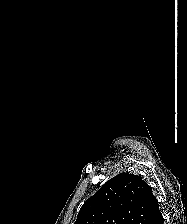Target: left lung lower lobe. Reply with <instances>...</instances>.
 <instances>
[{"mask_svg": "<svg viewBox=\"0 0 187 224\" xmlns=\"http://www.w3.org/2000/svg\"><path fill=\"white\" fill-rule=\"evenodd\" d=\"M163 216L161 214V212L159 213V215L152 221L151 224H163Z\"/></svg>", "mask_w": 187, "mask_h": 224, "instance_id": "left-lung-lower-lobe-1", "label": "left lung lower lobe"}]
</instances>
